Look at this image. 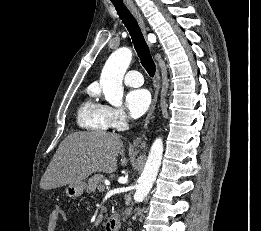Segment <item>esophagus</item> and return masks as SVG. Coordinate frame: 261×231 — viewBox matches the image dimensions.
Wrapping results in <instances>:
<instances>
[{
  "instance_id": "esophagus-1",
  "label": "esophagus",
  "mask_w": 261,
  "mask_h": 231,
  "mask_svg": "<svg viewBox=\"0 0 261 231\" xmlns=\"http://www.w3.org/2000/svg\"><path fill=\"white\" fill-rule=\"evenodd\" d=\"M124 3L126 5V7L128 8V10L132 13V15L136 18V20L138 21L139 25L142 28L143 34L145 35V37L147 36V27L145 26V22L143 19V16L141 15V13L139 12V10L137 9V7L134 5L132 0H124ZM156 42V36L153 35L152 39H148V45L150 47L153 46V43ZM160 72H159V68H157L156 70V89H155V93H154V97L152 100V104L149 110V113L145 119L144 125H143V130L141 131L140 135L133 141L132 146L136 147L138 146L141 142L142 139L144 137V132L148 127V124L150 122V119L155 111L156 108V104H157V100H158V94H159V89H160Z\"/></svg>"
}]
</instances>
